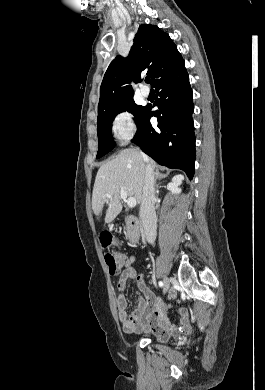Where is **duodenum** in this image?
Segmentation results:
<instances>
[{"label":"duodenum","mask_w":265,"mask_h":390,"mask_svg":"<svg viewBox=\"0 0 265 390\" xmlns=\"http://www.w3.org/2000/svg\"><path fill=\"white\" fill-rule=\"evenodd\" d=\"M126 227H127V237L130 245H137L140 242V220L133 216L129 215L125 219Z\"/></svg>","instance_id":"duodenum-1"}]
</instances>
